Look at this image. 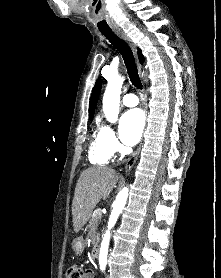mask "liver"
I'll list each match as a JSON object with an SVG mask.
<instances>
[{"label": "liver", "instance_id": "obj_1", "mask_svg": "<svg viewBox=\"0 0 221 278\" xmlns=\"http://www.w3.org/2000/svg\"><path fill=\"white\" fill-rule=\"evenodd\" d=\"M118 179L115 170L105 166L90 167L80 174L72 202L76 233L87 223L98 202L110 195Z\"/></svg>", "mask_w": 221, "mask_h": 278}]
</instances>
